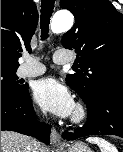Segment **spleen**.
Masks as SVG:
<instances>
[{
  "label": "spleen",
  "instance_id": "3e777b00",
  "mask_svg": "<svg viewBox=\"0 0 123 152\" xmlns=\"http://www.w3.org/2000/svg\"><path fill=\"white\" fill-rule=\"evenodd\" d=\"M87 140L91 143L97 144L101 152H118L114 145L100 137H89Z\"/></svg>",
  "mask_w": 123,
  "mask_h": 152
}]
</instances>
